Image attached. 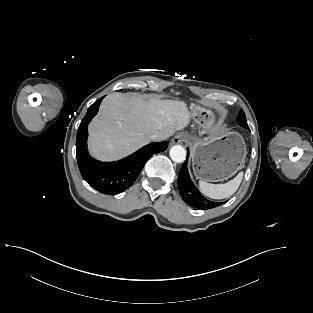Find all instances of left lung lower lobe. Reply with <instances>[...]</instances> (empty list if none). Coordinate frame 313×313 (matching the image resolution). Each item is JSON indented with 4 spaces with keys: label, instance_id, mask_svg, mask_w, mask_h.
I'll use <instances>...</instances> for the list:
<instances>
[{
    "label": "left lung lower lobe",
    "instance_id": "0a47b994",
    "mask_svg": "<svg viewBox=\"0 0 313 313\" xmlns=\"http://www.w3.org/2000/svg\"><path fill=\"white\" fill-rule=\"evenodd\" d=\"M178 187L182 199L189 205L206 210L222 205L224 202H213L206 199L190 179L187 162L182 165L178 174Z\"/></svg>",
    "mask_w": 313,
    "mask_h": 313
}]
</instances>
